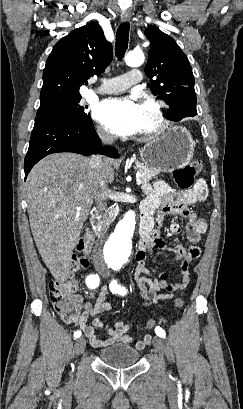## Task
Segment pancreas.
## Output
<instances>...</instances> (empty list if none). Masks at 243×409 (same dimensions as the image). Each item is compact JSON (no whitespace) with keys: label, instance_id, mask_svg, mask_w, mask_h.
<instances>
[{"label":"pancreas","instance_id":"1","mask_svg":"<svg viewBox=\"0 0 243 409\" xmlns=\"http://www.w3.org/2000/svg\"><path fill=\"white\" fill-rule=\"evenodd\" d=\"M135 168L139 171L140 173V179L142 181V184L145 185L147 184L154 176L159 174L158 171L151 169L147 166H145L142 163L136 162ZM113 214H117V210L113 211Z\"/></svg>","mask_w":243,"mask_h":409}]
</instances>
